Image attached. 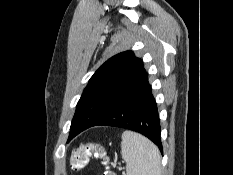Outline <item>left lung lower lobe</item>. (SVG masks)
I'll use <instances>...</instances> for the list:
<instances>
[{"label": "left lung lower lobe", "mask_w": 233, "mask_h": 175, "mask_svg": "<svg viewBox=\"0 0 233 175\" xmlns=\"http://www.w3.org/2000/svg\"><path fill=\"white\" fill-rule=\"evenodd\" d=\"M104 125L130 129L153 141L160 150V119L145 72L90 127Z\"/></svg>", "instance_id": "0a47b994"}]
</instances>
